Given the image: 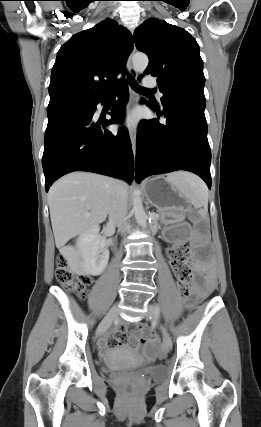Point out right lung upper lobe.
<instances>
[{"mask_svg": "<svg viewBox=\"0 0 261 427\" xmlns=\"http://www.w3.org/2000/svg\"><path fill=\"white\" fill-rule=\"evenodd\" d=\"M132 49L131 33L112 19L73 35L57 53L47 110L105 101Z\"/></svg>", "mask_w": 261, "mask_h": 427, "instance_id": "obj_1", "label": "right lung upper lobe"}]
</instances>
